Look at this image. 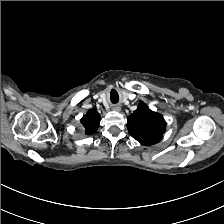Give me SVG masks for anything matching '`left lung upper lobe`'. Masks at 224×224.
Instances as JSON below:
<instances>
[{
	"instance_id": "left-lung-upper-lobe-1",
	"label": "left lung upper lobe",
	"mask_w": 224,
	"mask_h": 224,
	"mask_svg": "<svg viewBox=\"0 0 224 224\" xmlns=\"http://www.w3.org/2000/svg\"><path fill=\"white\" fill-rule=\"evenodd\" d=\"M127 128L131 136L138 142L152 145L162 139L166 122L161 114L150 110L141 101L138 108L128 117Z\"/></svg>"
}]
</instances>
